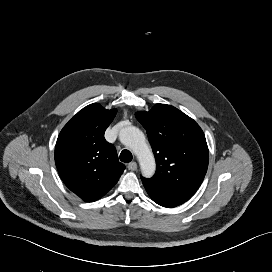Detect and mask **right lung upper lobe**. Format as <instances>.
<instances>
[{
    "label": "right lung upper lobe",
    "instance_id": "obj_1",
    "mask_svg": "<svg viewBox=\"0 0 272 272\" xmlns=\"http://www.w3.org/2000/svg\"><path fill=\"white\" fill-rule=\"evenodd\" d=\"M117 110L93 103L79 111L61 130L55 163L66 186L86 202L100 199L119 180L125 165L104 138Z\"/></svg>",
    "mask_w": 272,
    "mask_h": 272
}]
</instances>
